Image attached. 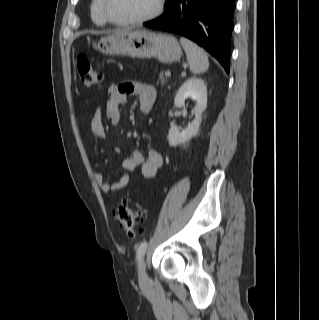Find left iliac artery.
I'll return each instance as SVG.
<instances>
[{
  "instance_id": "left-iliac-artery-1",
  "label": "left iliac artery",
  "mask_w": 319,
  "mask_h": 320,
  "mask_svg": "<svg viewBox=\"0 0 319 320\" xmlns=\"http://www.w3.org/2000/svg\"><path fill=\"white\" fill-rule=\"evenodd\" d=\"M147 246H148V242L147 241H143L138 249H137V258L138 261L140 262L142 260V258L144 257L146 250H147Z\"/></svg>"
}]
</instances>
